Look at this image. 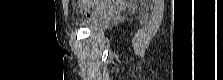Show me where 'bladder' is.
Listing matches in <instances>:
<instances>
[{
    "instance_id": "obj_1",
    "label": "bladder",
    "mask_w": 223,
    "mask_h": 80,
    "mask_svg": "<svg viewBox=\"0 0 223 80\" xmlns=\"http://www.w3.org/2000/svg\"><path fill=\"white\" fill-rule=\"evenodd\" d=\"M110 23V17L108 15H95L89 17L81 22V27L95 32L107 27Z\"/></svg>"
}]
</instances>
